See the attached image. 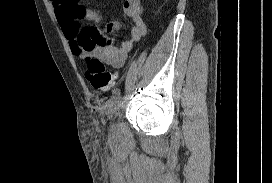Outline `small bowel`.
I'll list each match as a JSON object with an SVG mask.
<instances>
[{
  "instance_id": "c3829d8e",
  "label": "small bowel",
  "mask_w": 272,
  "mask_h": 183,
  "mask_svg": "<svg viewBox=\"0 0 272 183\" xmlns=\"http://www.w3.org/2000/svg\"><path fill=\"white\" fill-rule=\"evenodd\" d=\"M58 23L62 27L70 48L83 62L95 58L113 68H121L132 48L145 36L146 24L142 18L141 0H124V14L131 19L130 37L122 42L115 38L114 44L108 32L119 29L120 22L102 25V16L84 7L78 0H51ZM88 23L89 25H86Z\"/></svg>"
}]
</instances>
